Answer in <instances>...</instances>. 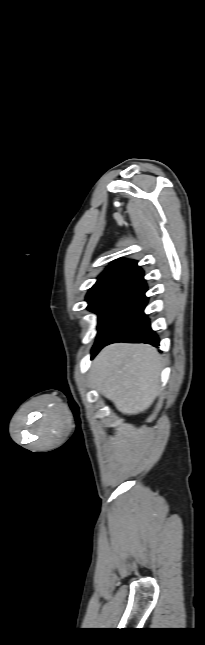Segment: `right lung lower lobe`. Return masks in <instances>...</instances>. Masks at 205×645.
<instances>
[{
	"instance_id": "right-lung-lower-lobe-1",
	"label": "right lung lower lobe",
	"mask_w": 205,
	"mask_h": 645,
	"mask_svg": "<svg viewBox=\"0 0 205 645\" xmlns=\"http://www.w3.org/2000/svg\"><path fill=\"white\" fill-rule=\"evenodd\" d=\"M115 342L159 345V338L151 329L150 321L142 310L131 321L115 332L98 350L92 351V357L104 346Z\"/></svg>"
}]
</instances>
